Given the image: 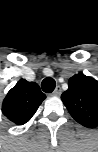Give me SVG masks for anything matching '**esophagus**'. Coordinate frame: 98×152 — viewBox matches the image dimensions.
<instances>
[{"label": "esophagus", "instance_id": "34e87169", "mask_svg": "<svg viewBox=\"0 0 98 152\" xmlns=\"http://www.w3.org/2000/svg\"><path fill=\"white\" fill-rule=\"evenodd\" d=\"M61 92H62L61 87L57 85L55 90L53 91V95L60 96Z\"/></svg>", "mask_w": 98, "mask_h": 152}]
</instances>
